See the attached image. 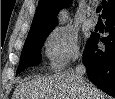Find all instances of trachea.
<instances>
[{"instance_id": "obj_1", "label": "trachea", "mask_w": 115, "mask_h": 99, "mask_svg": "<svg viewBox=\"0 0 115 99\" xmlns=\"http://www.w3.org/2000/svg\"><path fill=\"white\" fill-rule=\"evenodd\" d=\"M101 11V6L97 7L96 12L99 13Z\"/></svg>"}]
</instances>
